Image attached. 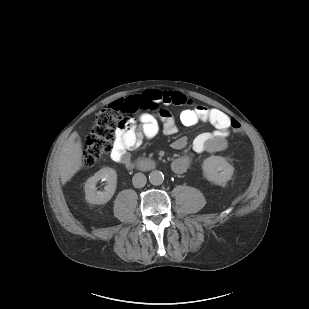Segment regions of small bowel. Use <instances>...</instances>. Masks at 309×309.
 Instances as JSON below:
<instances>
[{
	"label": "small bowel",
	"mask_w": 309,
	"mask_h": 309,
	"mask_svg": "<svg viewBox=\"0 0 309 309\" xmlns=\"http://www.w3.org/2000/svg\"><path fill=\"white\" fill-rule=\"evenodd\" d=\"M130 109L132 112L144 110L140 114L138 123H131L116 132L111 151V159L130 167L132 164L130 151L139 148L145 140L154 138L162 130L168 135L178 131L177 124L169 111L160 107L163 105H187V98L172 91L147 90L141 94L131 96ZM180 121L184 126L192 127L199 121L210 123L214 130L203 132L192 142V149L196 154L223 151L227 147V137L230 134L232 120L222 111L207 108L203 105H193L180 113ZM187 145L186 137H179L173 142L175 149L181 150ZM192 163V156L184 155L177 158L172 165L175 174L184 173Z\"/></svg>",
	"instance_id": "1"
}]
</instances>
